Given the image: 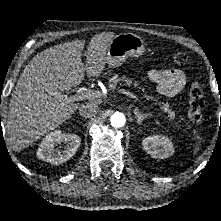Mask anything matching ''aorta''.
Segmentation results:
<instances>
[{"label":"aorta","mask_w":221,"mask_h":221,"mask_svg":"<svg viewBox=\"0 0 221 221\" xmlns=\"http://www.w3.org/2000/svg\"><path fill=\"white\" fill-rule=\"evenodd\" d=\"M110 122H111L112 127H114V128H121L126 123L125 115L123 113H121V112H115L111 116Z\"/></svg>","instance_id":"aorta-1"}]
</instances>
